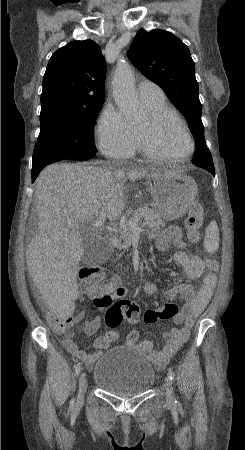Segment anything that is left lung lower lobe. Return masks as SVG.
Here are the masks:
<instances>
[{
  "label": "left lung lower lobe",
  "instance_id": "1",
  "mask_svg": "<svg viewBox=\"0 0 245 450\" xmlns=\"http://www.w3.org/2000/svg\"><path fill=\"white\" fill-rule=\"evenodd\" d=\"M209 151L206 147L200 146V145H196V152H195V156L196 157H201L204 158V156L206 155V152ZM205 169H207L208 171H210L214 176H215V170H214V165L213 163L210 164V166H205L203 167Z\"/></svg>",
  "mask_w": 245,
  "mask_h": 450
}]
</instances>
